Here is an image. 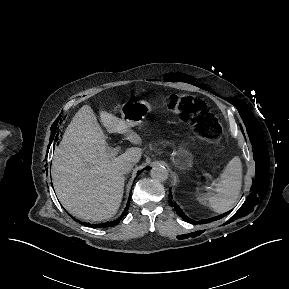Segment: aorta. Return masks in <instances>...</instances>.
<instances>
[{"label":"aorta","mask_w":289,"mask_h":289,"mask_svg":"<svg viewBox=\"0 0 289 289\" xmlns=\"http://www.w3.org/2000/svg\"><path fill=\"white\" fill-rule=\"evenodd\" d=\"M150 176L153 180L164 182L168 179L169 172L163 165H156L150 170Z\"/></svg>","instance_id":"obj_1"}]
</instances>
